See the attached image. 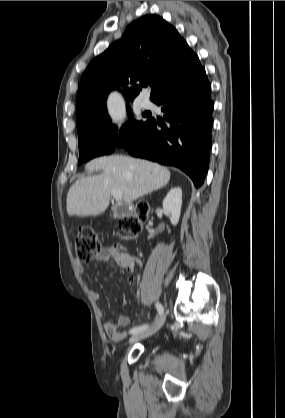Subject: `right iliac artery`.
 Returning a JSON list of instances; mask_svg holds the SVG:
<instances>
[{
    "mask_svg": "<svg viewBox=\"0 0 285 418\" xmlns=\"http://www.w3.org/2000/svg\"><path fill=\"white\" fill-rule=\"evenodd\" d=\"M155 307H156V309H157L158 313L161 315V314L163 313V306H162L159 302H157V303L155 304ZM147 328H148V325H147V324H144V325H141V326H137V327L132 328V329L130 330V333H131V334H134V333H137V332L143 331V330H145V329H147Z\"/></svg>",
    "mask_w": 285,
    "mask_h": 418,
    "instance_id": "right-iliac-artery-1",
    "label": "right iliac artery"
}]
</instances>
